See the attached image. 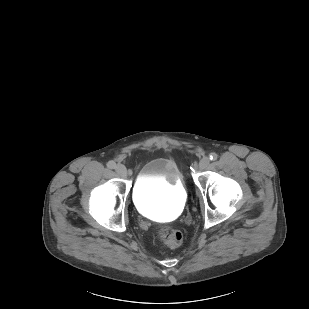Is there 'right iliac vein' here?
<instances>
[{
  "mask_svg": "<svg viewBox=\"0 0 309 309\" xmlns=\"http://www.w3.org/2000/svg\"><path fill=\"white\" fill-rule=\"evenodd\" d=\"M115 171L116 173L120 176V177H126L127 176V169L124 165L122 164H118L115 167Z\"/></svg>",
  "mask_w": 309,
  "mask_h": 309,
  "instance_id": "63e3f726",
  "label": "right iliac vein"
}]
</instances>
